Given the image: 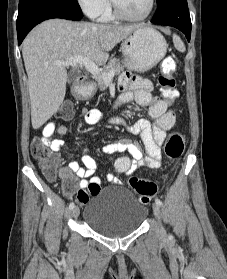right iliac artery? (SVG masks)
Here are the masks:
<instances>
[{
  "label": "right iliac artery",
  "mask_w": 227,
  "mask_h": 279,
  "mask_svg": "<svg viewBox=\"0 0 227 279\" xmlns=\"http://www.w3.org/2000/svg\"><path fill=\"white\" fill-rule=\"evenodd\" d=\"M74 206H75L74 203L71 202V203L69 204V209L72 210V209L74 208Z\"/></svg>",
  "instance_id": "1"
}]
</instances>
